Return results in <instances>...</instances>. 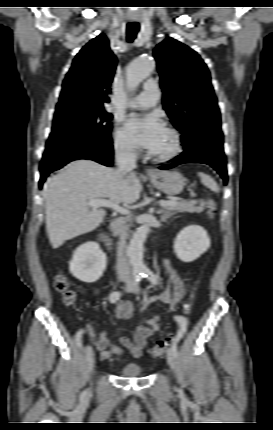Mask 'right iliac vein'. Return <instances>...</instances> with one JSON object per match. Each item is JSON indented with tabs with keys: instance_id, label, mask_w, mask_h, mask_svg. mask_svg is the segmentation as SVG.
Masks as SVG:
<instances>
[{
	"instance_id": "right-iliac-vein-1",
	"label": "right iliac vein",
	"mask_w": 273,
	"mask_h": 430,
	"mask_svg": "<svg viewBox=\"0 0 273 430\" xmlns=\"http://www.w3.org/2000/svg\"><path fill=\"white\" fill-rule=\"evenodd\" d=\"M121 281H126L124 279H121ZM85 353H86V361L88 364V368L89 370L92 372L94 369V365H95V355H94V351L90 346H87L85 348Z\"/></svg>"
}]
</instances>
